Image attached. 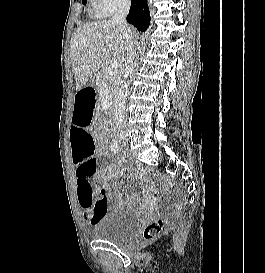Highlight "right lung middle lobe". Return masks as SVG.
<instances>
[{
  "mask_svg": "<svg viewBox=\"0 0 265 273\" xmlns=\"http://www.w3.org/2000/svg\"><path fill=\"white\" fill-rule=\"evenodd\" d=\"M86 2H87V0H82V3H83V4H86Z\"/></svg>",
  "mask_w": 265,
  "mask_h": 273,
  "instance_id": "dd1d6c3e",
  "label": "right lung middle lobe"
}]
</instances>
